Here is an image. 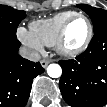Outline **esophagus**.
<instances>
[{
	"label": "esophagus",
	"mask_w": 107,
	"mask_h": 107,
	"mask_svg": "<svg viewBox=\"0 0 107 107\" xmlns=\"http://www.w3.org/2000/svg\"><path fill=\"white\" fill-rule=\"evenodd\" d=\"M52 62V60H50V59H43V60H41V66L43 67V68H46L47 67V65L48 64H50Z\"/></svg>",
	"instance_id": "obj_1"
}]
</instances>
